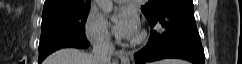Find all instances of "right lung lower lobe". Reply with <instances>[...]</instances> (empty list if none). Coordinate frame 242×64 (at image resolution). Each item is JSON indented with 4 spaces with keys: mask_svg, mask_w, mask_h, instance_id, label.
<instances>
[{
    "mask_svg": "<svg viewBox=\"0 0 242 64\" xmlns=\"http://www.w3.org/2000/svg\"><path fill=\"white\" fill-rule=\"evenodd\" d=\"M43 60H44V59H43ZM43 60H40V61H39V64H41V62H42Z\"/></svg>",
    "mask_w": 242,
    "mask_h": 64,
    "instance_id": "98d812e1",
    "label": "right lung lower lobe"
}]
</instances>
